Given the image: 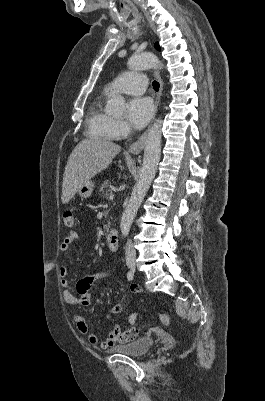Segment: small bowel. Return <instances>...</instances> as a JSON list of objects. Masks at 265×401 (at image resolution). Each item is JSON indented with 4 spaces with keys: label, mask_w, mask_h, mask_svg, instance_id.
<instances>
[{
    "label": "small bowel",
    "mask_w": 265,
    "mask_h": 401,
    "mask_svg": "<svg viewBox=\"0 0 265 401\" xmlns=\"http://www.w3.org/2000/svg\"><path fill=\"white\" fill-rule=\"evenodd\" d=\"M79 238L80 237L77 232L71 231L62 241L60 245V250L62 252L75 251L73 243ZM59 274L61 277V286L63 287L64 301L70 309H73L78 305L88 307L91 304V286L96 281L106 277L108 275V272L104 270L80 279L77 282L74 291L71 289L70 283L67 279L68 269L62 266L59 269ZM74 292L79 295V299L76 298ZM130 292L133 295H137L140 293V289L138 286L132 285L130 288ZM122 309L123 307L120 303L114 304L109 311V317H111V315L113 314L120 313ZM73 319L76 324L77 330L82 335H85L87 337L89 344L93 346L99 345L102 350H107L115 346L116 344H123L131 341V339L127 336V331H121L117 325H114L109 331L106 338L103 341L99 342L97 336L94 333L90 332L89 326L83 316L77 313H73Z\"/></svg>",
    "instance_id": "obj_1"
}]
</instances>
